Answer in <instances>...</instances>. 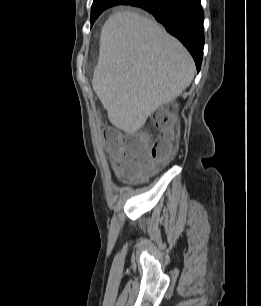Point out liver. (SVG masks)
Masks as SVG:
<instances>
[{
  "label": "liver",
  "mask_w": 261,
  "mask_h": 306,
  "mask_svg": "<svg viewBox=\"0 0 261 306\" xmlns=\"http://www.w3.org/2000/svg\"><path fill=\"white\" fill-rule=\"evenodd\" d=\"M194 73V61L177 39L152 19L121 11L102 28L92 86L110 122L132 134L180 96Z\"/></svg>",
  "instance_id": "liver-1"
}]
</instances>
